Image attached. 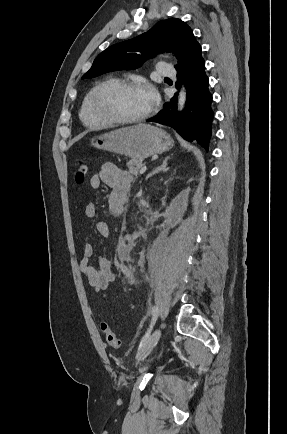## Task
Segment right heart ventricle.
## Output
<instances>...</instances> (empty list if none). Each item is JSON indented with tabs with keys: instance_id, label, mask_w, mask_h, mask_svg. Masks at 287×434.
Returning <instances> with one entry per match:
<instances>
[{
	"instance_id": "obj_1",
	"label": "right heart ventricle",
	"mask_w": 287,
	"mask_h": 434,
	"mask_svg": "<svg viewBox=\"0 0 287 434\" xmlns=\"http://www.w3.org/2000/svg\"><path fill=\"white\" fill-rule=\"evenodd\" d=\"M100 84H97L95 86H93L84 96L82 102H81V106H80V110H79V117L81 119V121L89 127H102L105 126L106 123L103 122L102 120H100L99 118H97L93 112H92V108H91V100H92V96L96 90V88L99 86Z\"/></svg>"
}]
</instances>
